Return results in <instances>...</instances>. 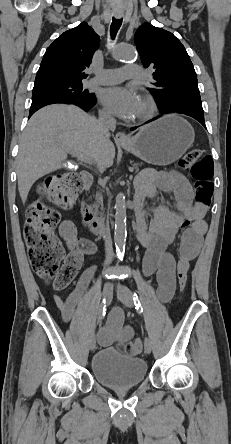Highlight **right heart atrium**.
<instances>
[{
  "label": "right heart atrium",
  "instance_id": "right-heart-atrium-1",
  "mask_svg": "<svg viewBox=\"0 0 231 444\" xmlns=\"http://www.w3.org/2000/svg\"><path fill=\"white\" fill-rule=\"evenodd\" d=\"M102 115H103L104 117H109V114H108L106 111H102Z\"/></svg>",
  "mask_w": 231,
  "mask_h": 444
}]
</instances>
